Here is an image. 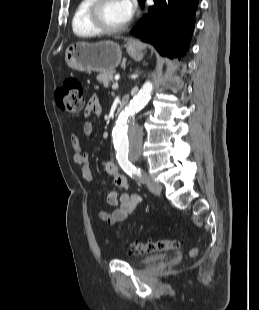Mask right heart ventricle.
<instances>
[{"mask_svg": "<svg viewBox=\"0 0 259 310\" xmlns=\"http://www.w3.org/2000/svg\"><path fill=\"white\" fill-rule=\"evenodd\" d=\"M93 0H80L75 8L72 18V30L78 37H93L97 32L89 24L87 14Z\"/></svg>", "mask_w": 259, "mask_h": 310, "instance_id": "e07e8e85", "label": "right heart ventricle"}]
</instances>
